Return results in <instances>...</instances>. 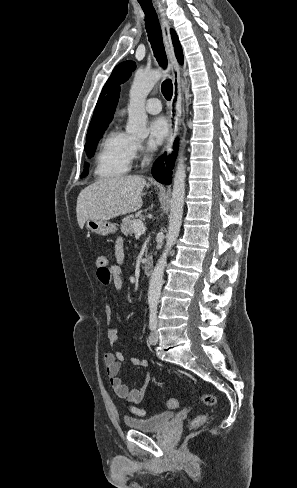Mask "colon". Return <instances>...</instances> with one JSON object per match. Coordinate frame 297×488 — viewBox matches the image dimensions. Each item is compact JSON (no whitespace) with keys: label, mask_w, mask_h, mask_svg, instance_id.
<instances>
[{"label":"colon","mask_w":297,"mask_h":488,"mask_svg":"<svg viewBox=\"0 0 297 488\" xmlns=\"http://www.w3.org/2000/svg\"><path fill=\"white\" fill-rule=\"evenodd\" d=\"M107 265H108V256L107 255H100L97 257L96 266H97L98 270H100L102 273L105 272L107 269ZM200 400L206 406H208L210 408V412L202 413V414L196 416L191 421L190 425L192 428H197V427L201 426L202 424H204L208 420V418L211 414V411L215 408V406L217 404L216 397L212 394H205L200 398ZM178 405H179V402L176 399H171L167 402V407L170 409H175L178 407ZM131 410L133 413H135L138 416H144V414H145L142 409H139L136 407H132Z\"/></svg>","instance_id":"5ec220e1"}]
</instances>
